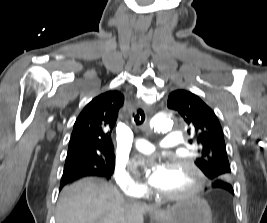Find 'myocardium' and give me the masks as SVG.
I'll use <instances>...</instances> for the list:
<instances>
[{
  "instance_id": "obj_1",
  "label": "myocardium",
  "mask_w": 267,
  "mask_h": 223,
  "mask_svg": "<svg viewBox=\"0 0 267 223\" xmlns=\"http://www.w3.org/2000/svg\"><path fill=\"white\" fill-rule=\"evenodd\" d=\"M167 166L171 169H176L180 167H185L189 169L195 178V183L191 189L180 193H163L155 189L154 193L159 198L164 199L166 201H181V200L193 199L202 192V190L205 187L204 173L191 160L184 157L173 156L168 161Z\"/></svg>"
}]
</instances>
